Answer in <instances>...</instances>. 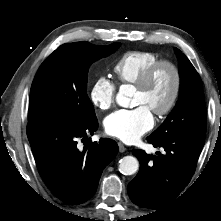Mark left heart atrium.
<instances>
[{
  "label": "left heart atrium",
  "mask_w": 221,
  "mask_h": 221,
  "mask_svg": "<svg viewBox=\"0 0 221 221\" xmlns=\"http://www.w3.org/2000/svg\"><path fill=\"white\" fill-rule=\"evenodd\" d=\"M154 124L152 112L144 105L133 109H120L104 121L106 132L124 142L132 143L149 131Z\"/></svg>",
  "instance_id": "1"
}]
</instances>
